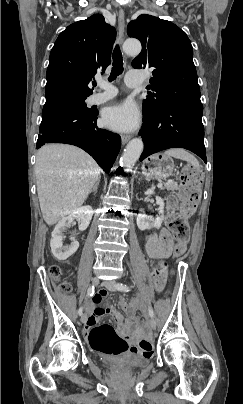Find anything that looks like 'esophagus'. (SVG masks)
<instances>
[{"mask_svg":"<svg viewBox=\"0 0 243 404\" xmlns=\"http://www.w3.org/2000/svg\"><path fill=\"white\" fill-rule=\"evenodd\" d=\"M118 30H119V43L122 44L124 40L125 32V14L124 10L120 9L118 13ZM130 135H123L121 137L122 144H126L130 140Z\"/></svg>","mask_w":243,"mask_h":404,"instance_id":"34e87169","label":"esophagus"}]
</instances>
